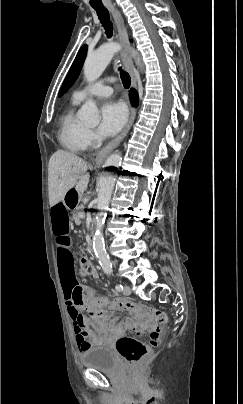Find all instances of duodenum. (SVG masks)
Here are the masks:
<instances>
[{
  "mask_svg": "<svg viewBox=\"0 0 243 404\" xmlns=\"http://www.w3.org/2000/svg\"><path fill=\"white\" fill-rule=\"evenodd\" d=\"M80 200V195L77 189L68 188L65 190L63 195V201L68 209L74 210L78 207ZM93 236H89L87 239V246L89 249L93 250Z\"/></svg>",
  "mask_w": 243,
  "mask_h": 404,
  "instance_id": "obj_1",
  "label": "duodenum"
}]
</instances>
